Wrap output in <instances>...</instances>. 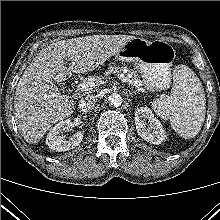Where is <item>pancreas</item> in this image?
I'll return each instance as SVG.
<instances>
[{
	"instance_id": "cf45deb5",
	"label": "pancreas",
	"mask_w": 220,
	"mask_h": 220,
	"mask_svg": "<svg viewBox=\"0 0 220 220\" xmlns=\"http://www.w3.org/2000/svg\"><path fill=\"white\" fill-rule=\"evenodd\" d=\"M122 70H123V67L110 66L108 70L105 72V74L106 75L115 74V73L121 72ZM98 79H100V77H98ZM128 79L132 81L131 85H134V86L142 85V81L139 79V77L136 75L134 71H129Z\"/></svg>"
}]
</instances>
